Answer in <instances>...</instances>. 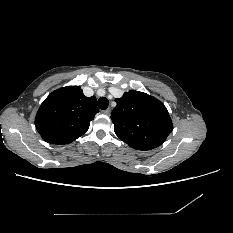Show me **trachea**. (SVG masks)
Instances as JSON below:
<instances>
[{
	"instance_id": "3493384b",
	"label": "trachea",
	"mask_w": 233,
	"mask_h": 233,
	"mask_svg": "<svg viewBox=\"0 0 233 233\" xmlns=\"http://www.w3.org/2000/svg\"><path fill=\"white\" fill-rule=\"evenodd\" d=\"M98 107L101 109V110H105L107 109V107L109 106V101L107 98L105 97H101L98 99Z\"/></svg>"
}]
</instances>
